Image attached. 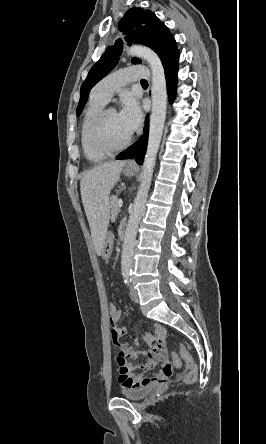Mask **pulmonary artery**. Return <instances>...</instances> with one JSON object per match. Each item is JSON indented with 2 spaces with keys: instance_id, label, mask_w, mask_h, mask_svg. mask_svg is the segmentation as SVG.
I'll return each instance as SVG.
<instances>
[{
  "instance_id": "1",
  "label": "pulmonary artery",
  "mask_w": 266,
  "mask_h": 444,
  "mask_svg": "<svg viewBox=\"0 0 266 444\" xmlns=\"http://www.w3.org/2000/svg\"><path fill=\"white\" fill-rule=\"evenodd\" d=\"M150 75L147 66H129L118 69L103 78L93 89L92 94L108 102L113 94L131 81L146 79Z\"/></svg>"
}]
</instances>
